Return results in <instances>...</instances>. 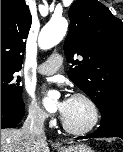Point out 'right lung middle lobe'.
Instances as JSON below:
<instances>
[{
  "label": "right lung middle lobe",
  "mask_w": 123,
  "mask_h": 152,
  "mask_svg": "<svg viewBox=\"0 0 123 152\" xmlns=\"http://www.w3.org/2000/svg\"><path fill=\"white\" fill-rule=\"evenodd\" d=\"M18 69L1 67V104L15 108H23L22 87L20 77L16 76Z\"/></svg>",
  "instance_id": "1"
}]
</instances>
